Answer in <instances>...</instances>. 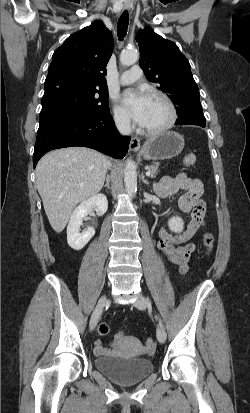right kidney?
I'll return each mask as SVG.
<instances>
[{"mask_svg": "<svg viewBox=\"0 0 250 413\" xmlns=\"http://www.w3.org/2000/svg\"><path fill=\"white\" fill-rule=\"evenodd\" d=\"M96 209L97 215H103L108 209V201L104 194H96L82 201L73 211L67 226V242L74 250H81L94 236L95 230L88 227L80 233L83 218Z\"/></svg>", "mask_w": 250, "mask_h": 413, "instance_id": "1", "label": "right kidney"}]
</instances>
